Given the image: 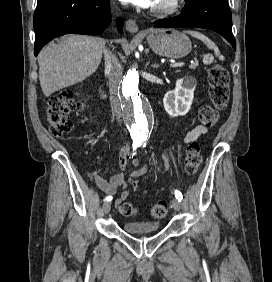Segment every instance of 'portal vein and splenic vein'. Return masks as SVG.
Listing matches in <instances>:
<instances>
[{"mask_svg": "<svg viewBox=\"0 0 272 282\" xmlns=\"http://www.w3.org/2000/svg\"><path fill=\"white\" fill-rule=\"evenodd\" d=\"M184 63L180 62V63H174L170 65V68H177V67H183Z\"/></svg>", "mask_w": 272, "mask_h": 282, "instance_id": "18ae733b", "label": "portal vein and splenic vein"}]
</instances>
